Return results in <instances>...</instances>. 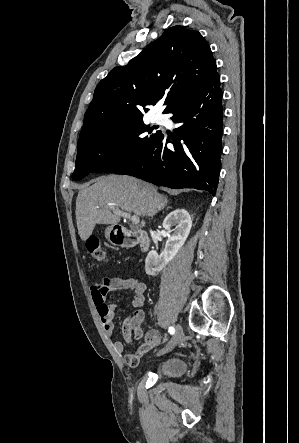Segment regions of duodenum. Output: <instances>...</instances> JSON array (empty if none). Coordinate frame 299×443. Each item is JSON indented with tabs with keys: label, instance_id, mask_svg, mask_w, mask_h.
<instances>
[{
	"label": "duodenum",
	"instance_id": "1",
	"mask_svg": "<svg viewBox=\"0 0 299 443\" xmlns=\"http://www.w3.org/2000/svg\"><path fill=\"white\" fill-rule=\"evenodd\" d=\"M113 244L121 247H131L137 242L142 251H147L150 247V239L147 233L141 229L130 230L122 225H115L111 233Z\"/></svg>",
	"mask_w": 299,
	"mask_h": 443
}]
</instances>
